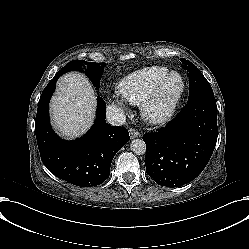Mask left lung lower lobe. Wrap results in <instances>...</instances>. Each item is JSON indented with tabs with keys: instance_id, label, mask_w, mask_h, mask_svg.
<instances>
[{
	"instance_id": "1",
	"label": "left lung lower lobe",
	"mask_w": 249,
	"mask_h": 249,
	"mask_svg": "<svg viewBox=\"0 0 249 249\" xmlns=\"http://www.w3.org/2000/svg\"><path fill=\"white\" fill-rule=\"evenodd\" d=\"M214 96L188 99L180 113L158 132L146 133L147 174L161 186L179 187L207 165L217 142Z\"/></svg>"
}]
</instances>
